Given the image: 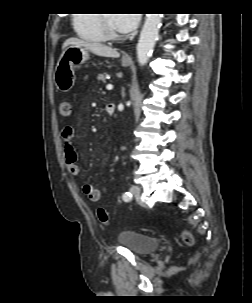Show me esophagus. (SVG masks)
I'll list each match as a JSON object with an SVG mask.
<instances>
[{"label":"esophagus","mask_w":252,"mask_h":303,"mask_svg":"<svg viewBox=\"0 0 252 303\" xmlns=\"http://www.w3.org/2000/svg\"><path fill=\"white\" fill-rule=\"evenodd\" d=\"M124 60H129L130 58L128 56L123 57Z\"/></svg>","instance_id":"1"}]
</instances>
